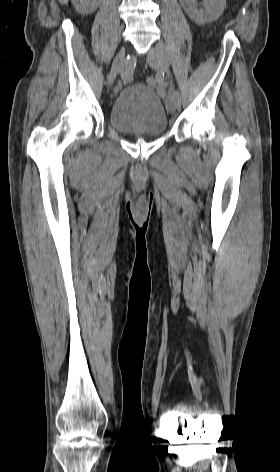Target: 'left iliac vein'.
<instances>
[{"instance_id": "1", "label": "left iliac vein", "mask_w": 280, "mask_h": 472, "mask_svg": "<svg viewBox=\"0 0 280 472\" xmlns=\"http://www.w3.org/2000/svg\"><path fill=\"white\" fill-rule=\"evenodd\" d=\"M159 47H164V44L159 43L156 48H153V47L150 48L149 53L147 55V62L152 68L165 71L167 74V77L170 79V88H169V93L166 99V108L168 112L175 113L176 108H177V101L175 97V87H174L170 72L167 70L166 65L164 64L160 56V53L158 51Z\"/></svg>"}]
</instances>
